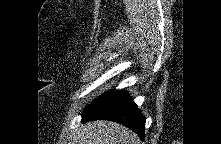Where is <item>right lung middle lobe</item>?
<instances>
[{
    "mask_svg": "<svg viewBox=\"0 0 221 144\" xmlns=\"http://www.w3.org/2000/svg\"><path fill=\"white\" fill-rule=\"evenodd\" d=\"M111 91V90H110ZM109 91V92H110ZM108 92H105L104 94H102L101 96H99L98 98H96L92 103H90V105L87 107L89 108L90 106H92L93 104H95L98 100H100L104 95H106Z\"/></svg>",
    "mask_w": 221,
    "mask_h": 144,
    "instance_id": "dd1d6c3e",
    "label": "right lung middle lobe"
}]
</instances>
